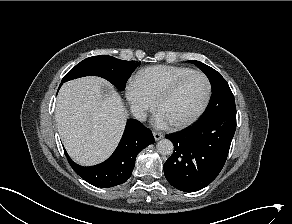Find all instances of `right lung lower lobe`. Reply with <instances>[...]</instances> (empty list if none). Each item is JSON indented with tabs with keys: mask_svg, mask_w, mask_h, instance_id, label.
<instances>
[{
	"mask_svg": "<svg viewBox=\"0 0 292 224\" xmlns=\"http://www.w3.org/2000/svg\"><path fill=\"white\" fill-rule=\"evenodd\" d=\"M153 143L151 131L138 120L129 119L118 147L103 163L83 167L73 162L66 151L65 154L69 164L81 178L96 187L108 188L127 181L134 169L137 154Z\"/></svg>",
	"mask_w": 292,
	"mask_h": 224,
	"instance_id": "obj_1",
	"label": "right lung lower lobe"
}]
</instances>
